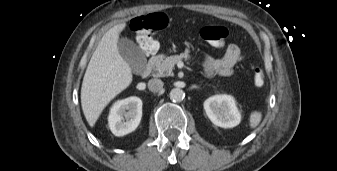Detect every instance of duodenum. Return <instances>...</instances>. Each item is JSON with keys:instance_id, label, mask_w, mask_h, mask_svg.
I'll return each mask as SVG.
<instances>
[{"instance_id": "410a0bca", "label": "duodenum", "mask_w": 337, "mask_h": 171, "mask_svg": "<svg viewBox=\"0 0 337 171\" xmlns=\"http://www.w3.org/2000/svg\"><path fill=\"white\" fill-rule=\"evenodd\" d=\"M150 71H151V66H150V65L146 66V67L141 71V77H142V78H146V77L149 75Z\"/></svg>"}]
</instances>
